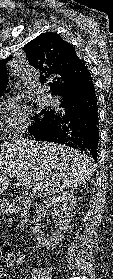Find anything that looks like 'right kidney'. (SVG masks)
<instances>
[{
    "instance_id": "ca27d5eb",
    "label": "right kidney",
    "mask_w": 113,
    "mask_h": 279,
    "mask_svg": "<svg viewBox=\"0 0 113 279\" xmlns=\"http://www.w3.org/2000/svg\"><path fill=\"white\" fill-rule=\"evenodd\" d=\"M75 206L76 192L73 190L53 196L50 200L44 201V204L39 206L33 226V233L39 245L49 250L59 244L69 227ZM48 212L52 213L55 224V230H52L51 233L45 232L41 223Z\"/></svg>"
}]
</instances>
